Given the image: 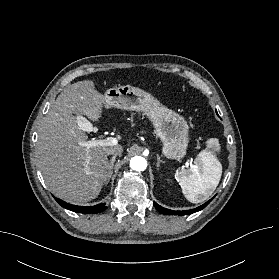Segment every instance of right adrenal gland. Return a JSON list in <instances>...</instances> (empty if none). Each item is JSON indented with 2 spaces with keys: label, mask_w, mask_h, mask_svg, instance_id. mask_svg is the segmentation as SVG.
I'll return each instance as SVG.
<instances>
[{
  "label": "right adrenal gland",
  "mask_w": 279,
  "mask_h": 279,
  "mask_svg": "<svg viewBox=\"0 0 279 279\" xmlns=\"http://www.w3.org/2000/svg\"><path fill=\"white\" fill-rule=\"evenodd\" d=\"M115 159H116V155H114L111 160H110V164H109V167H108V173H107V178L105 180V184L107 185L110 181V178L112 176V173H113V166H114V163H115Z\"/></svg>",
  "instance_id": "right-adrenal-gland-1"
}]
</instances>
